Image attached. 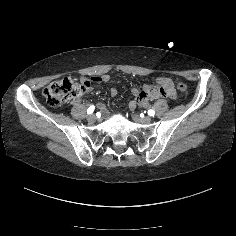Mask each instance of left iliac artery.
I'll return each mask as SVG.
<instances>
[{"instance_id": "44dca946", "label": "left iliac artery", "mask_w": 236, "mask_h": 236, "mask_svg": "<svg viewBox=\"0 0 236 236\" xmlns=\"http://www.w3.org/2000/svg\"><path fill=\"white\" fill-rule=\"evenodd\" d=\"M148 115H150V116H153V117H154V115H155V111H154V110H152V109L148 110Z\"/></svg>"}]
</instances>
